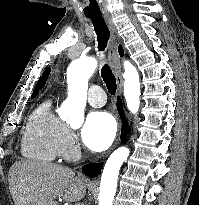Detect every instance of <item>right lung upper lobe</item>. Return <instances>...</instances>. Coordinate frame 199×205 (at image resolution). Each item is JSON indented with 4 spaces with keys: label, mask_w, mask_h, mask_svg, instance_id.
<instances>
[{
    "label": "right lung upper lobe",
    "mask_w": 199,
    "mask_h": 205,
    "mask_svg": "<svg viewBox=\"0 0 199 205\" xmlns=\"http://www.w3.org/2000/svg\"><path fill=\"white\" fill-rule=\"evenodd\" d=\"M119 54H120V56H123V55H124V51H123V48H122L121 45L119 46ZM49 73H50V69H47V70L42 74V76L40 77V79H39V81H38V83H37V85H36V87H35V89H34L32 98H34V97L38 94L39 90L44 86V84H45V82H46V80H47V78H48Z\"/></svg>",
    "instance_id": "obj_1"
}]
</instances>
